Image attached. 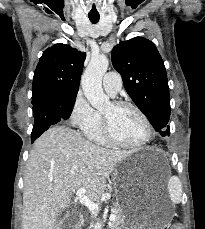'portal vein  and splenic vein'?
<instances>
[{
	"label": "portal vein and splenic vein",
	"instance_id": "1",
	"mask_svg": "<svg viewBox=\"0 0 205 229\" xmlns=\"http://www.w3.org/2000/svg\"><path fill=\"white\" fill-rule=\"evenodd\" d=\"M85 188H80L76 192V197L79 200V202L83 205H85L93 214H96L98 211V205L94 203L90 198H88L86 195ZM109 219L111 221L116 220V215L111 213Z\"/></svg>",
	"mask_w": 205,
	"mask_h": 229
}]
</instances>
